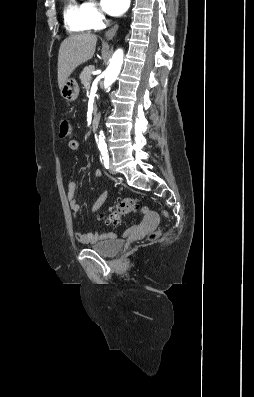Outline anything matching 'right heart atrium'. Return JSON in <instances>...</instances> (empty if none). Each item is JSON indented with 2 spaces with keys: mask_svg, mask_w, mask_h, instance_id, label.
I'll list each match as a JSON object with an SVG mask.
<instances>
[{
  "mask_svg": "<svg viewBox=\"0 0 254 397\" xmlns=\"http://www.w3.org/2000/svg\"><path fill=\"white\" fill-rule=\"evenodd\" d=\"M86 18L93 29L100 28L105 20L101 10L94 2L85 3Z\"/></svg>",
  "mask_w": 254,
  "mask_h": 397,
  "instance_id": "1",
  "label": "right heart atrium"
}]
</instances>
